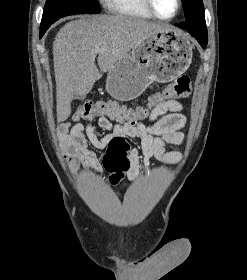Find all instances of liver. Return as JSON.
I'll use <instances>...</instances> for the list:
<instances>
[{
  "mask_svg": "<svg viewBox=\"0 0 247 280\" xmlns=\"http://www.w3.org/2000/svg\"><path fill=\"white\" fill-rule=\"evenodd\" d=\"M168 29V24L121 15L82 16L66 23L53 43L58 121L69 117L73 98H85L102 73L144 39Z\"/></svg>",
  "mask_w": 247,
  "mask_h": 280,
  "instance_id": "1",
  "label": "liver"
}]
</instances>
